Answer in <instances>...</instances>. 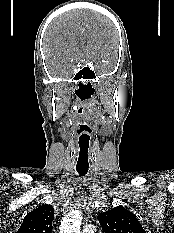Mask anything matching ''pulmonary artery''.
<instances>
[{
	"instance_id": "pulmonary-artery-1",
	"label": "pulmonary artery",
	"mask_w": 174,
	"mask_h": 233,
	"mask_svg": "<svg viewBox=\"0 0 174 233\" xmlns=\"http://www.w3.org/2000/svg\"><path fill=\"white\" fill-rule=\"evenodd\" d=\"M83 233H95V228L92 225H85L82 229Z\"/></svg>"
}]
</instances>
